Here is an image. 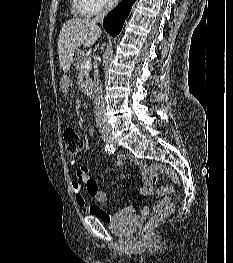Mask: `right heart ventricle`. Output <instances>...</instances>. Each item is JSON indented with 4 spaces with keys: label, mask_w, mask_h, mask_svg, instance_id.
Wrapping results in <instances>:
<instances>
[{
    "label": "right heart ventricle",
    "mask_w": 233,
    "mask_h": 263,
    "mask_svg": "<svg viewBox=\"0 0 233 263\" xmlns=\"http://www.w3.org/2000/svg\"><path fill=\"white\" fill-rule=\"evenodd\" d=\"M79 9H80V1H79V5H78Z\"/></svg>",
    "instance_id": "1"
}]
</instances>
